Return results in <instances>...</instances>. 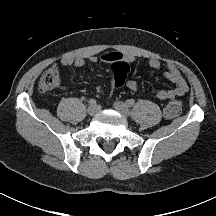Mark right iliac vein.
Here are the masks:
<instances>
[{"label":"right iliac vein","instance_id":"obj_1","mask_svg":"<svg viewBox=\"0 0 216 216\" xmlns=\"http://www.w3.org/2000/svg\"><path fill=\"white\" fill-rule=\"evenodd\" d=\"M98 106L97 105H89L87 112L89 115L94 116L98 112Z\"/></svg>","mask_w":216,"mask_h":216}]
</instances>
